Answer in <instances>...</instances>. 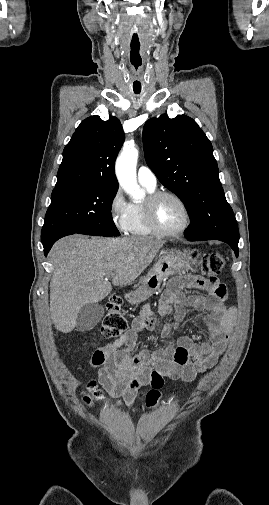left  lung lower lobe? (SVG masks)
Here are the masks:
<instances>
[{"label":"left lung lower lobe","mask_w":269,"mask_h":505,"mask_svg":"<svg viewBox=\"0 0 269 505\" xmlns=\"http://www.w3.org/2000/svg\"><path fill=\"white\" fill-rule=\"evenodd\" d=\"M187 240L190 241H198V240H193L191 238H187ZM216 240L223 241L231 246V248L234 250L236 257H238L239 250H238V241L230 240L227 238H216Z\"/></svg>","instance_id":"obj_1"}]
</instances>
